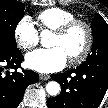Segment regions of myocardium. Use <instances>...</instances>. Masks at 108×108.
Instances as JSON below:
<instances>
[{"label": "myocardium", "mask_w": 108, "mask_h": 108, "mask_svg": "<svg viewBox=\"0 0 108 108\" xmlns=\"http://www.w3.org/2000/svg\"><path fill=\"white\" fill-rule=\"evenodd\" d=\"M77 27H81L84 30L85 35H86V41H85V45L83 49L81 50V52L69 58V62L71 64H79L88 57L92 49V46H93V40H94L93 30L87 22L80 20V19H74L72 21H69L66 24L54 30V34L58 36H66L73 29Z\"/></svg>", "instance_id": "obj_1"}]
</instances>
